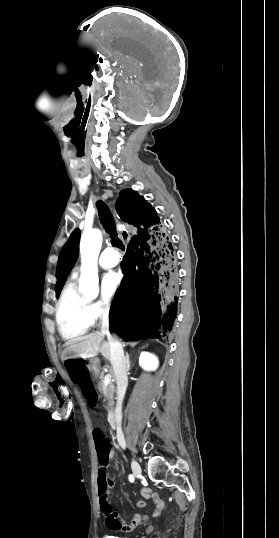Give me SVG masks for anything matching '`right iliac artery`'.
Wrapping results in <instances>:
<instances>
[{
    "instance_id": "right-iliac-artery-1",
    "label": "right iliac artery",
    "mask_w": 279,
    "mask_h": 538,
    "mask_svg": "<svg viewBox=\"0 0 279 538\" xmlns=\"http://www.w3.org/2000/svg\"><path fill=\"white\" fill-rule=\"evenodd\" d=\"M129 480H130V482H133V481H134V477H133V475H130V476H129Z\"/></svg>"
}]
</instances>
